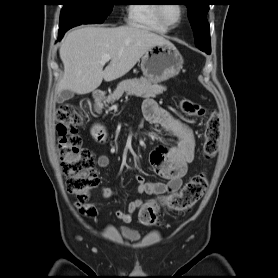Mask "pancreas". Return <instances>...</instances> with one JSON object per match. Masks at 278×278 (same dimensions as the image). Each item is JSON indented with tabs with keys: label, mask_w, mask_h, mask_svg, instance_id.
I'll use <instances>...</instances> for the list:
<instances>
[{
	"label": "pancreas",
	"mask_w": 278,
	"mask_h": 278,
	"mask_svg": "<svg viewBox=\"0 0 278 278\" xmlns=\"http://www.w3.org/2000/svg\"><path fill=\"white\" fill-rule=\"evenodd\" d=\"M164 90V86L158 85L156 82L146 78L127 79L118 84L115 91L106 98L105 102L113 103L114 101L120 99L124 93L128 95H135L137 97L154 98L163 93Z\"/></svg>",
	"instance_id": "obj_1"
}]
</instances>
